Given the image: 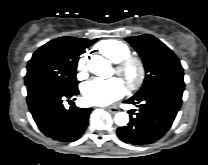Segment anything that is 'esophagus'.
Returning a JSON list of instances; mask_svg holds the SVG:
<instances>
[{
  "mask_svg": "<svg viewBox=\"0 0 208 165\" xmlns=\"http://www.w3.org/2000/svg\"><path fill=\"white\" fill-rule=\"evenodd\" d=\"M105 109L110 113H117L118 112V108H116V107H106Z\"/></svg>",
  "mask_w": 208,
  "mask_h": 165,
  "instance_id": "34e87169",
  "label": "esophagus"
}]
</instances>
